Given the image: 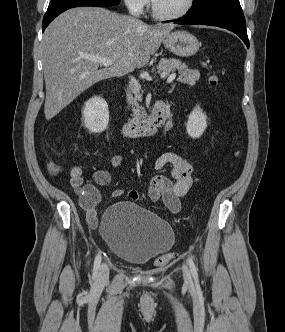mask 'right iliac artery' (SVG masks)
I'll use <instances>...</instances> for the list:
<instances>
[{"mask_svg": "<svg viewBox=\"0 0 285 332\" xmlns=\"http://www.w3.org/2000/svg\"><path fill=\"white\" fill-rule=\"evenodd\" d=\"M100 263H101V255L98 254L96 257H95V260H94V266H93V274H92V277L95 279L98 275V270H99V267H100Z\"/></svg>", "mask_w": 285, "mask_h": 332, "instance_id": "right-iliac-artery-1", "label": "right iliac artery"}]
</instances>
